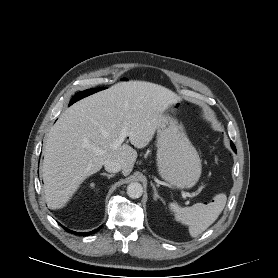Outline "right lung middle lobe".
I'll list each match as a JSON object with an SVG mask.
<instances>
[{
  "label": "right lung middle lobe",
  "mask_w": 278,
  "mask_h": 278,
  "mask_svg": "<svg viewBox=\"0 0 278 278\" xmlns=\"http://www.w3.org/2000/svg\"><path fill=\"white\" fill-rule=\"evenodd\" d=\"M95 92V91H97V89H93V90H86V91H83V92H80V93H78V95H81L82 97H84V96H87L90 92Z\"/></svg>",
  "instance_id": "1"
}]
</instances>
